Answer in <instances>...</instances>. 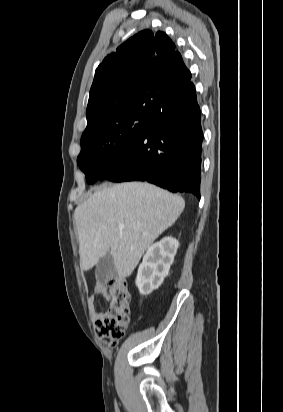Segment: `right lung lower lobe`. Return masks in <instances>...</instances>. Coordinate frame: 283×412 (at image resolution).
<instances>
[{
	"mask_svg": "<svg viewBox=\"0 0 283 412\" xmlns=\"http://www.w3.org/2000/svg\"><path fill=\"white\" fill-rule=\"evenodd\" d=\"M202 141L195 87L187 81L170 94L127 153L98 180L147 181L200 199Z\"/></svg>",
	"mask_w": 283,
	"mask_h": 412,
	"instance_id": "1",
	"label": "right lung lower lobe"
}]
</instances>
